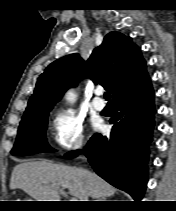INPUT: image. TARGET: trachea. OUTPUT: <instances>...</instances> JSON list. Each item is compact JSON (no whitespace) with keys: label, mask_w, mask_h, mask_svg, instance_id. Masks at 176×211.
<instances>
[{"label":"trachea","mask_w":176,"mask_h":211,"mask_svg":"<svg viewBox=\"0 0 176 211\" xmlns=\"http://www.w3.org/2000/svg\"><path fill=\"white\" fill-rule=\"evenodd\" d=\"M104 98L109 101L110 100V93L109 92H105Z\"/></svg>","instance_id":"1"}]
</instances>
